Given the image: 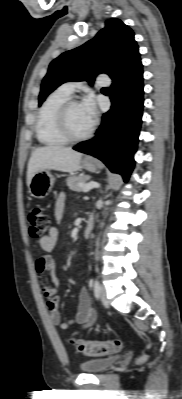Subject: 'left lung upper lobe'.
I'll use <instances>...</instances> for the list:
<instances>
[{
    "label": "left lung upper lobe",
    "instance_id": "left-lung-upper-lobe-1",
    "mask_svg": "<svg viewBox=\"0 0 182 399\" xmlns=\"http://www.w3.org/2000/svg\"><path fill=\"white\" fill-rule=\"evenodd\" d=\"M140 63L134 32L119 19H110L93 39L64 52L50 63L42 81L39 106L65 82L87 80L92 83L99 73L108 74L114 81Z\"/></svg>",
    "mask_w": 182,
    "mask_h": 399
}]
</instances>
